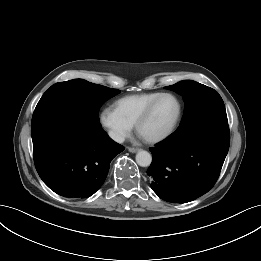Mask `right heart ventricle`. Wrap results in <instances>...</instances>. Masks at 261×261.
Instances as JSON below:
<instances>
[{"label": "right heart ventricle", "instance_id": "e07e8e85", "mask_svg": "<svg viewBox=\"0 0 261 261\" xmlns=\"http://www.w3.org/2000/svg\"><path fill=\"white\" fill-rule=\"evenodd\" d=\"M160 92H148L134 95H127L117 99L113 106L117 113L132 125L135 124L139 115L146 106L156 98Z\"/></svg>", "mask_w": 261, "mask_h": 261}]
</instances>
